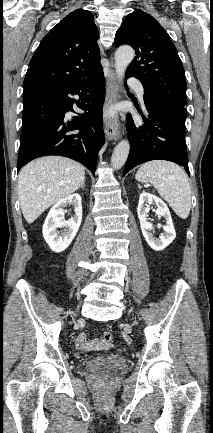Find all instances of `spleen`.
<instances>
[{
	"label": "spleen",
	"mask_w": 213,
	"mask_h": 433,
	"mask_svg": "<svg viewBox=\"0 0 213 433\" xmlns=\"http://www.w3.org/2000/svg\"><path fill=\"white\" fill-rule=\"evenodd\" d=\"M142 183H151L173 211L186 219L191 208V190L186 173L176 164L167 161H150L143 164L135 175Z\"/></svg>",
	"instance_id": "obj_1"
}]
</instances>
